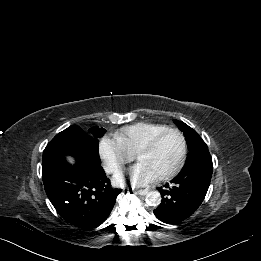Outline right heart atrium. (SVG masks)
I'll return each mask as SVG.
<instances>
[{"label":"right heart atrium","instance_id":"1","mask_svg":"<svg viewBox=\"0 0 261 261\" xmlns=\"http://www.w3.org/2000/svg\"><path fill=\"white\" fill-rule=\"evenodd\" d=\"M99 154L108 173H117L132 159L123 145L115 138L104 136L99 142Z\"/></svg>","mask_w":261,"mask_h":261}]
</instances>
